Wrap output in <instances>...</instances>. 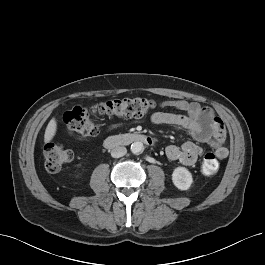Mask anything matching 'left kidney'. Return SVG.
Returning a JSON list of instances; mask_svg holds the SVG:
<instances>
[{
	"instance_id": "1",
	"label": "left kidney",
	"mask_w": 265,
	"mask_h": 265,
	"mask_svg": "<svg viewBox=\"0 0 265 265\" xmlns=\"http://www.w3.org/2000/svg\"><path fill=\"white\" fill-rule=\"evenodd\" d=\"M173 184L180 190H188L193 183L192 174L185 167H177L172 173Z\"/></svg>"
}]
</instances>
